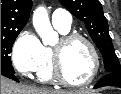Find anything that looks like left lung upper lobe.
I'll return each instance as SVG.
<instances>
[{"instance_id": "left-lung-upper-lobe-1", "label": "left lung upper lobe", "mask_w": 121, "mask_h": 94, "mask_svg": "<svg viewBox=\"0 0 121 94\" xmlns=\"http://www.w3.org/2000/svg\"><path fill=\"white\" fill-rule=\"evenodd\" d=\"M74 16L83 21L104 59L108 73H121V66L115 54L108 22L98 0H59Z\"/></svg>"}]
</instances>
